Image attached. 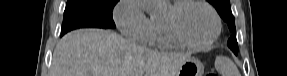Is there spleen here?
I'll return each instance as SVG.
<instances>
[{"label":"spleen","mask_w":287,"mask_h":76,"mask_svg":"<svg viewBox=\"0 0 287 76\" xmlns=\"http://www.w3.org/2000/svg\"><path fill=\"white\" fill-rule=\"evenodd\" d=\"M215 68L222 76H240V73L231 59L225 56H217Z\"/></svg>","instance_id":"3e777b00"}]
</instances>
